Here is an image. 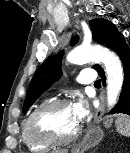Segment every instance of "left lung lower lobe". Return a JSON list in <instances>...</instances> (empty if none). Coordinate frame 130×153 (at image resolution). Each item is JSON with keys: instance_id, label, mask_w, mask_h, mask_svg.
<instances>
[{"instance_id": "1", "label": "left lung lower lobe", "mask_w": 130, "mask_h": 153, "mask_svg": "<svg viewBox=\"0 0 130 153\" xmlns=\"http://www.w3.org/2000/svg\"><path fill=\"white\" fill-rule=\"evenodd\" d=\"M105 46L114 50L118 54L124 68V82L120 99L113 108L112 113H124L130 115V49L126 44L123 35L119 32L115 33L107 41ZM98 73L104 80L102 82L103 85H105V74L101 67L98 69Z\"/></svg>"}]
</instances>
